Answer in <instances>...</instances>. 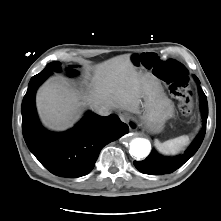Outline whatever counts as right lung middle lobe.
<instances>
[{
    "mask_svg": "<svg viewBox=\"0 0 221 221\" xmlns=\"http://www.w3.org/2000/svg\"><path fill=\"white\" fill-rule=\"evenodd\" d=\"M46 71H50V73H52L53 71H61V67H60V63L59 62H52L50 63L47 68L45 70H43L42 72H46ZM69 75H74L77 72L74 69L69 68ZM40 72V73H42Z\"/></svg>",
    "mask_w": 221,
    "mask_h": 221,
    "instance_id": "obj_1",
    "label": "right lung middle lobe"
}]
</instances>
